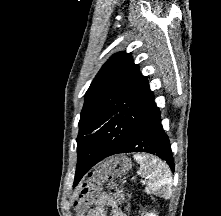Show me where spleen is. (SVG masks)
Listing matches in <instances>:
<instances>
[{
    "label": "spleen",
    "mask_w": 221,
    "mask_h": 216,
    "mask_svg": "<svg viewBox=\"0 0 221 216\" xmlns=\"http://www.w3.org/2000/svg\"><path fill=\"white\" fill-rule=\"evenodd\" d=\"M134 159L140 164L142 177L148 179L145 191L170 199L173 180L168 165L155 156L136 154Z\"/></svg>",
    "instance_id": "spleen-1"
}]
</instances>
